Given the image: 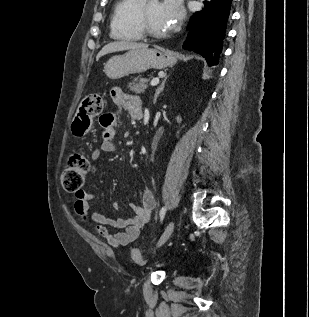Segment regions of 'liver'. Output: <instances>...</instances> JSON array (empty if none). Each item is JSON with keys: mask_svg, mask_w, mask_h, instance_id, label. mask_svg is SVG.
I'll list each match as a JSON object with an SVG mask.
<instances>
[{"mask_svg": "<svg viewBox=\"0 0 309 317\" xmlns=\"http://www.w3.org/2000/svg\"><path fill=\"white\" fill-rule=\"evenodd\" d=\"M148 45L144 43H136L130 41H114L107 45H105L101 51L97 54L96 59L97 61L104 55L124 51V50H131V49H138V48H147Z\"/></svg>", "mask_w": 309, "mask_h": 317, "instance_id": "6515ba94", "label": "liver"}]
</instances>
